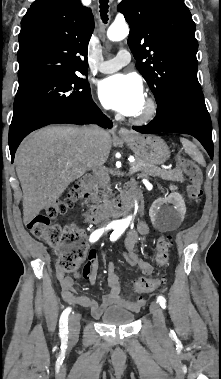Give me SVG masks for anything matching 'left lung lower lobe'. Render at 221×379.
I'll return each mask as SVG.
<instances>
[{
    "label": "left lung lower lobe",
    "mask_w": 221,
    "mask_h": 379,
    "mask_svg": "<svg viewBox=\"0 0 221 379\" xmlns=\"http://www.w3.org/2000/svg\"><path fill=\"white\" fill-rule=\"evenodd\" d=\"M137 132H175L194 136L213 158L212 123L204 105L181 99H165L157 108L156 117L145 126H133Z\"/></svg>",
    "instance_id": "left-lung-lower-lobe-1"
}]
</instances>
